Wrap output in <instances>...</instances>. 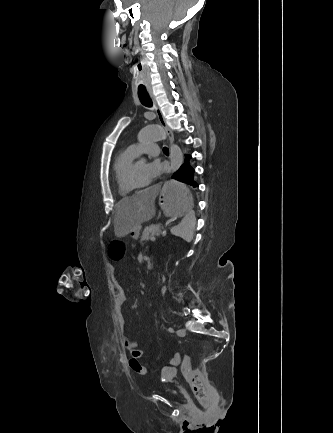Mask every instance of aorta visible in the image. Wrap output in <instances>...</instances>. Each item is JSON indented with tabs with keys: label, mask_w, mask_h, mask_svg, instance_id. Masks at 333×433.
Here are the masks:
<instances>
[{
	"label": "aorta",
	"mask_w": 333,
	"mask_h": 433,
	"mask_svg": "<svg viewBox=\"0 0 333 433\" xmlns=\"http://www.w3.org/2000/svg\"><path fill=\"white\" fill-rule=\"evenodd\" d=\"M168 132L159 125L146 126L138 133V141L140 143H159L168 138ZM170 161L172 172L177 171L183 161V153L178 145L171 144L170 147ZM146 160L141 158L138 163L144 164Z\"/></svg>",
	"instance_id": "1"
}]
</instances>
